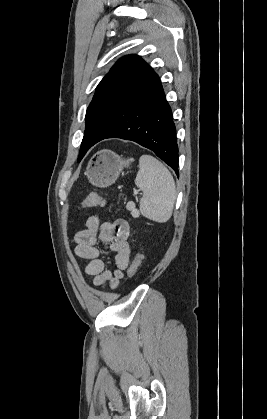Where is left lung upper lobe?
<instances>
[{
  "label": "left lung upper lobe",
  "mask_w": 267,
  "mask_h": 419,
  "mask_svg": "<svg viewBox=\"0 0 267 419\" xmlns=\"http://www.w3.org/2000/svg\"><path fill=\"white\" fill-rule=\"evenodd\" d=\"M157 74L138 55H127L119 59L96 88L93 99L86 111V127L81 143L79 157L88 151L91 138L101 131L109 132V117L116 111L126 110L136 95Z\"/></svg>",
  "instance_id": "1"
}]
</instances>
